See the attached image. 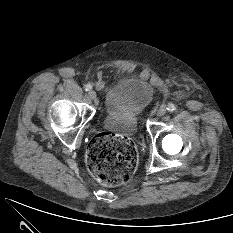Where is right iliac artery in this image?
I'll return each mask as SVG.
<instances>
[{"mask_svg": "<svg viewBox=\"0 0 233 233\" xmlns=\"http://www.w3.org/2000/svg\"><path fill=\"white\" fill-rule=\"evenodd\" d=\"M92 89V86L90 84L85 85V90L90 91Z\"/></svg>", "mask_w": 233, "mask_h": 233, "instance_id": "1", "label": "right iliac artery"}]
</instances>
